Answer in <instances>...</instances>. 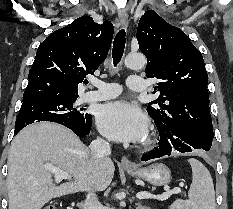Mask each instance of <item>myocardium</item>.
Returning a JSON list of instances; mask_svg holds the SVG:
<instances>
[{"label":"myocardium","mask_w":233,"mask_h":209,"mask_svg":"<svg viewBox=\"0 0 233 209\" xmlns=\"http://www.w3.org/2000/svg\"><path fill=\"white\" fill-rule=\"evenodd\" d=\"M153 143V139L151 136H148L144 141H143V146L148 147Z\"/></svg>","instance_id":"f54148a6"}]
</instances>
